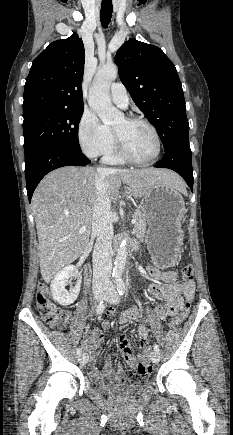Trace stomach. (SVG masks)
<instances>
[{"label":"stomach","mask_w":233,"mask_h":435,"mask_svg":"<svg viewBox=\"0 0 233 435\" xmlns=\"http://www.w3.org/2000/svg\"><path fill=\"white\" fill-rule=\"evenodd\" d=\"M140 207L148 224L146 241L151 258L158 268H169L182 245L183 197L176 188L158 183L143 196Z\"/></svg>","instance_id":"1"}]
</instances>
